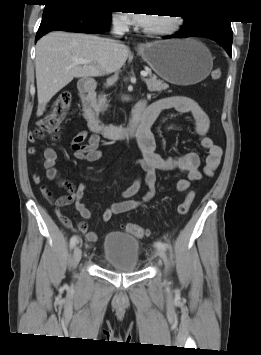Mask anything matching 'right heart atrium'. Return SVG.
<instances>
[{"label":"right heart atrium","instance_id":"1","mask_svg":"<svg viewBox=\"0 0 261 355\" xmlns=\"http://www.w3.org/2000/svg\"><path fill=\"white\" fill-rule=\"evenodd\" d=\"M113 22L117 27H126L127 22L122 14L113 15Z\"/></svg>","mask_w":261,"mask_h":355}]
</instances>
